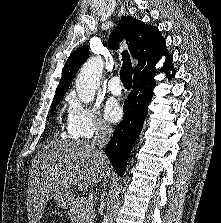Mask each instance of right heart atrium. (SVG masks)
Returning a JSON list of instances; mask_svg holds the SVG:
<instances>
[{"label": "right heart atrium", "instance_id": "obj_1", "mask_svg": "<svg viewBox=\"0 0 221 223\" xmlns=\"http://www.w3.org/2000/svg\"><path fill=\"white\" fill-rule=\"evenodd\" d=\"M66 130L72 138L90 139L111 131L102 119L95 105L83 104L75 94L67 96Z\"/></svg>", "mask_w": 221, "mask_h": 223}]
</instances>
